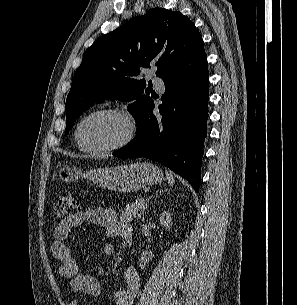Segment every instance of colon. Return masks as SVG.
<instances>
[{
  "label": "colon",
  "mask_w": 297,
  "mask_h": 305,
  "mask_svg": "<svg viewBox=\"0 0 297 305\" xmlns=\"http://www.w3.org/2000/svg\"><path fill=\"white\" fill-rule=\"evenodd\" d=\"M78 207L74 197L67 191L61 192L53 209V215L56 219H63L72 215Z\"/></svg>",
  "instance_id": "obj_1"
}]
</instances>
